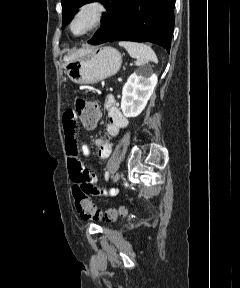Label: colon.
<instances>
[{
  "label": "colon",
  "mask_w": 240,
  "mask_h": 288,
  "mask_svg": "<svg viewBox=\"0 0 240 288\" xmlns=\"http://www.w3.org/2000/svg\"><path fill=\"white\" fill-rule=\"evenodd\" d=\"M75 112L85 127H94L100 119L101 110L96 100L79 97L75 101ZM75 206L80 215L86 219L114 221L118 216L128 213L126 207L118 209L100 210L92 202L88 193L79 186L73 187Z\"/></svg>",
  "instance_id": "obj_1"
}]
</instances>
